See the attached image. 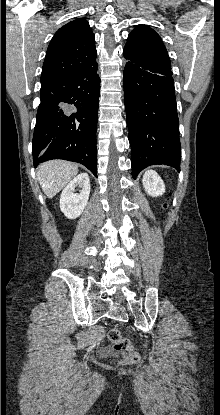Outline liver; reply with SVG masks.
Returning <instances> with one entry per match:
<instances>
[{
    "label": "liver",
    "mask_w": 220,
    "mask_h": 415,
    "mask_svg": "<svg viewBox=\"0 0 220 415\" xmlns=\"http://www.w3.org/2000/svg\"><path fill=\"white\" fill-rule=\"evenodd\" d=\"M78 173L76 164L52 160L41 164L37 170L38 180L44 185V192L48 198H53Z\"/></svg>",
    "instance_id": "obj_1"
}]
</instances>
